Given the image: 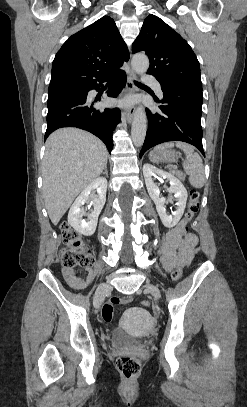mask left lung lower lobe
Instances as JSON below:
<instances>
[{"instance_id": "obj_1", "label": "left lung lower lobe", "mask_w": 247, "mask_h": 407, "mask_svg": "<svg viewBox=\"0 0 247 407\" xmlns=\"http://www.w3.org/2000/svg\"><path fill=\"white\" fill-rule=\"evenodd\" d=\"M161 89L164 98L160 111L146 109L149 126L140 158L149 148L174 140L194 145L205 156L200 120L202 91L174 85H161Z\"/></svg>"}]
</instances>
